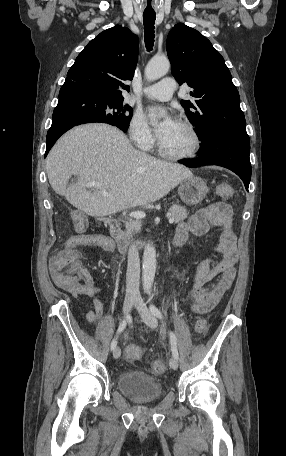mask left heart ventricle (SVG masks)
<instances>
[{
    "label": "left heart ventricle",
    "instance_id": "b2bd125f",
    "mask_svg": "<svg viewBox=\"0 0 286 456\" xmlns=\"http://www.w3.org/2000/svg\"><path fill=\"white\" fill-rule=\"evenodd\" d=\"M160 141L166 151L177 155L190 152L194 145L190 132L178 123Z\"/></svg>",
    "mask_w": 286,
    "mask_h": 456
}]
</instances>
